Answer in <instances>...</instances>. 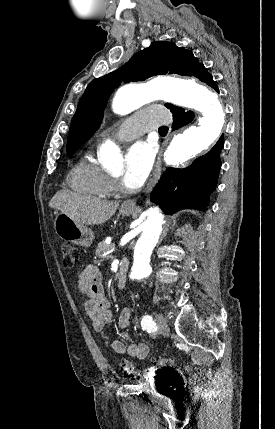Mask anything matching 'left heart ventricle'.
I'll return each mask as SVG.
<instances>
[{"label": "left heart ventricle", "mask_w": 275, "mask_h": 429, "mask_svg": "<svg viewBox=\"0 0 275 429\" xmlns=\"http://www.w3.org/2000/svg\"><path fill=\"white\" fill-rule=\"evenodd\" d=\"M121 173V169L117 171V175H119Z\"/></svg>", "instance_id": "left-heart-ventricle-1"}]
</instances>
